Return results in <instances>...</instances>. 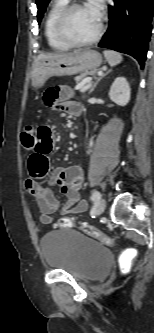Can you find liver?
<instances>
[{
    "label": "liver",
    "mask_w": 154,
    "mask_h": 333,
    "mask_svg": "<svg viewBox=\"0 0 154 333\" xmlns=\"http://www.w3.org/2000/svg\"><path fill=\"white\" fill-rule=\"evenodd\" d=\"M65 55H68V54H39L37 56V58L35 59V64L38 62V61H41V60H50V59H55V58H60V57H63Z\"/></svg>",
    "instance_id": "liver-1"
}]
</instances>
